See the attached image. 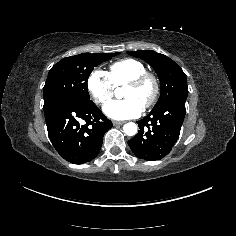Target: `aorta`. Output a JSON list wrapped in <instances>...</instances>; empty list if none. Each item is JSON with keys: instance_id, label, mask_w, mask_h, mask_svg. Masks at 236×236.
<instances>
[{"instance_id": "obj_1", "label": "aorta", "mask_w": 236, "mask_h": 236, "mask_svg": "<svg viewBox=\"0 0 236 236\" xmlns=\"http://www.w3.org/2000/svg\"><path fill=\"white\" fill-rule=\"evenodd\" d=\"M123 130L126 135L133 136L137 133V125L133 122L126 123Z\"/></svg>"}]
</instances>
